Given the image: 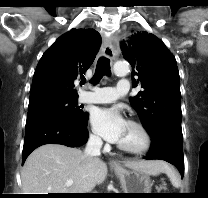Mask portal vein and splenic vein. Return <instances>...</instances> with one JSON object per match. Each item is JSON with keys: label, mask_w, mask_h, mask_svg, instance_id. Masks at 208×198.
Masks as SVG:
<instances>
[{"label": "portal vein and splenic vein", "mask_w": 208, "mask_h": 198, "mask_svg": "<svg viewBox=\"0 0 208 198\" xmlns=\"http://www.w3.org/2000/svg\"><path fill=\"white\" fill-rule=\"evenodd\" d=\"M73 184V181L72 180H68L67 182H66V186H71Z\"/></svg>", "instance_id": "1"}]
</instances>
